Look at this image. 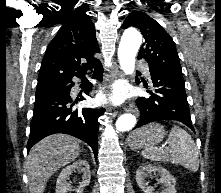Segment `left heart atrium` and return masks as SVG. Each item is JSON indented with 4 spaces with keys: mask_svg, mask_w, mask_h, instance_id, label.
Segmentation results:
<instances>
[{
    "mask_svg": "<svg viewBox=\"0 0 221 193\" xmlns=\"http://www.w3.org/2000/svg\"><path fill=\"white\" fill-rule=\"evenodd\" d=\"M109 98L114 103H121L126 98L125 89L121 86L114 87V89H113L111 95L109 96Z\"/></svg>",
    "mask_w": 221,
    "mask_h": 193,
    "instance_id": "1",
    "label": "left heart atrium"
}]
</instances>
